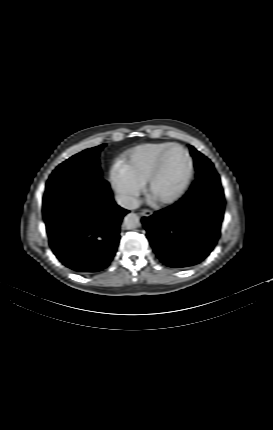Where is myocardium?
Segmentation results:
<instances>
[{"label":"myocardium","instance_id":"obj_1","mask_svg":"<svg viewBox=\"0 0 273 430\" xmlns=\"http://www.w3.org/2000/svg\"><path fill=\"white\" fill-rule=\"evenodd\" d=\"M173 149H179L181 150L187 161H188V170L186 173V176L182 182V184L180 185V187L170 196L165 197V198H156L153 195V186L161 172L162 169V165L164 162V159L166 157V155ZM194 175V163H193V159L191 157V155L189 154V152L187 151L186 148H184L183 146L179 145V144H171L170 146H168L167 148H165L160 155L158 156L156 163L146 181V192L149 196V198L159 204V205H170L175 203L176 201H178L183 194L186 192V190L188 189V187L190 186V183L192 181Z\"/></svg>","mask_w":273,"mask_h":430}]
</instances>
